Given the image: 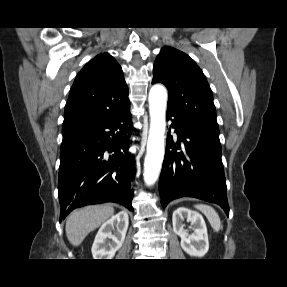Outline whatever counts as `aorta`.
Segmentation results:
<instances>
[{"label":"aorta","mask_w":287,"mask_h":287,"mask_svg":"<svg viewBox=\"0 0 287 287\" xmlns=\"http://www.w3.org/2000/svg\"><path fill=\"white\" fill-rule=\"evenodd\" d=\"M150 128L147 152L144 160V181L153 185L160 174L165 153V128L167 90L160 84L153 85L149 91Z\"/></svg>","instance_id":"obj_1"}]
</instances>
